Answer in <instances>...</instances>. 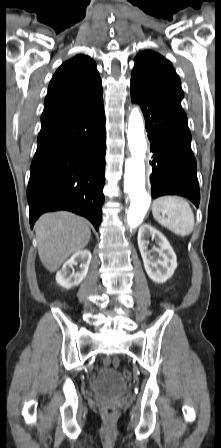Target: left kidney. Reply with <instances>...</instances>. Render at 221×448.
<instances>
[{
	"instance_id": "1",
	"label": "left kidney",
	"mask_w": 221,
	"mask_h": 448,
	"mask_svg": "<svg viewBox=\"0 0 221 448\" xmlns=\"http://www.w3.org/2000/svg\"><path fill=\"white\" fill-rule=\"evenodd\" d=\"M151 236L158 244L153 248L158 254L155 258L148 250L147 237ZM138 246L143 259L144 268L154 282L164 283L172 277L177 268L176 254L166 237L149 224H144L138 231Z\"/></svg>"
}]
</instances>
